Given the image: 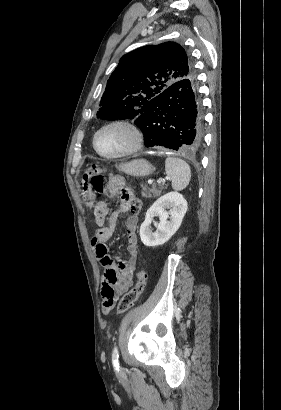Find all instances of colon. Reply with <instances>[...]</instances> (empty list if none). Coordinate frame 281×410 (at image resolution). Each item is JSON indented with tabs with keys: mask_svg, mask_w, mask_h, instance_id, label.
<instances>
[{
	"mask_svg": "<svg viewBox=\"0 0 281 410\" xmlns=\"http://www.w3.org/2000/svg\"><path fill=\"white\" fill-rule=\"evenodd\" d=\"M83 190L82 198L86 205L91 206L94 202L95 196L101 193L105 187V181L101 174V170L98 167H93L87 170L83 177ZM146 273L144 270H140L137 277V282L134 287L126 292L120 299L117 305V312L119 314L129 311L140 295L143 293L146 282ZM114 302L112 296H109L106 301L103 302V308L109 310L113 307Z\"/></svg>",
	"mask_w": 281,
	"mask_h": 410,
	"instance_id": "colon-1",
	"label": "colon"
}]
</instances>
